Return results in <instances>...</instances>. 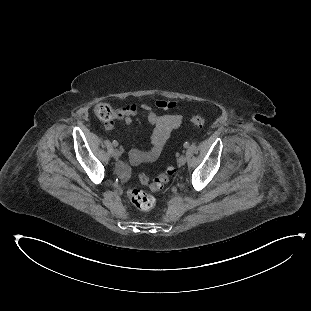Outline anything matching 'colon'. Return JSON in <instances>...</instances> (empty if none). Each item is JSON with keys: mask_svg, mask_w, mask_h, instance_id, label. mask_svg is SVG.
<instances>
[{"mask_svg": "<svg viewBox=\"0 0 311 311\" xmlns=\"http://www.w3.org/2000/svg\"><path fill=\"white\" fill-rule=\"evenodd\" d=\"M93 113L98 119L104 121L105 123L109 122L111 118L116 115V112L109 104L106 103L96 104L93 107ZM190 124L197 128L204 127L206 124L205 115L202 112L194 114L190 118ZM174 173L175 168L173 166H169L164 172L155 178L148 179L147 177H143L141 182L147 185L151 190H161L167 185ZM126 194L129 200L141 211H150L155 206L156 202L154 197L146 194L144 191L136 188L132 184L127 187Z\"/></svg>", "mask_w": 311, "mask_h": 311, "instance_id": "1", "label": "colon"}]
</instances>
